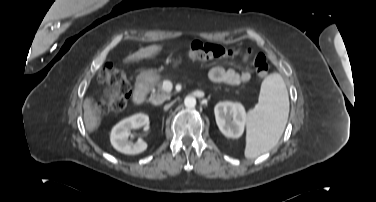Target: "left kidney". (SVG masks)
I'll return each mask as SVG.
<instances>
[{"mask_svg":"<svg viewBox=\"0 0 376 202\" xmlns=\"http://www.w3.org/2000/svg\"><path fill=\"white\" fill-rule=\"evenodd\" d=\"M215 119L219 130L229 138L242 136L247 121V113L239 102H219L214 108Z\"/></svg>","mask_w":376,"mask_h":202,"instance_id":"1","label":"left kidney"}]
</instances>
